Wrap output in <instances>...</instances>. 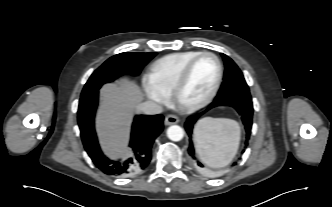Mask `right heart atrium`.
<instances>
[{"mask_svg":"<svg viewBox=\"0 0 332 207\" xmlns=\"http://www.w3.org/2000/svg\"><path fill=\"white\" fill-rule=\"evenodd\" d=\"M145 91L149 98L154 100L155 102L159 104H165L168 100V97L163 95L162 93L158 92L154 88H152L150 85L145 86Z\"/></svg>","mask_w":332,"mask_h":207,"instance_id":"1","label":"right heart atrium"}]
</instances>
